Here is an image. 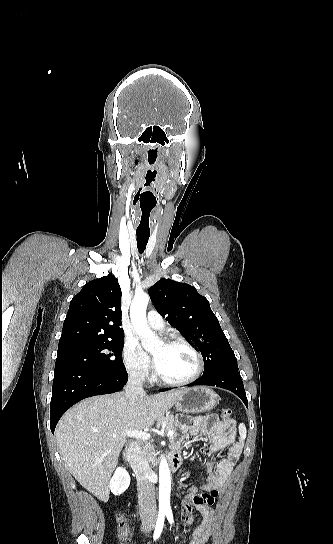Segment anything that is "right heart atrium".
<instances>
[{"label":"right heart atrium","instance_id":"d8ad5b80","mask_svg":"<svg viewBox=\"0 0 333 544\" xmlns=\"http://www.w3.org/2000/svg\"><path fill=\"white\" fill-rule=\"evenodd\" d=\"M123 360L126 371L131 377L141 382L149 378V360L136 340H126L123 349Z\"/></svg>","mask_w":333,"mask_h":544}]
</instances>
